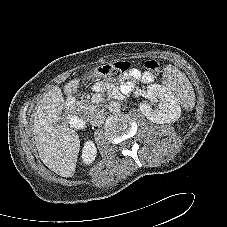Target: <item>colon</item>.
<instances>
[{
	"label": "colon",
	"instance_id": "colon-1",
	"mask_svg": "<svg viewBox=\"0 0 227 227\" xmlns=\"http://www.w3.org/2000/svg\"><path fill=\"white\" fill-rule=\"evenodd\" d=\"M128 62H116L113 64H108L97 68L91 76L96 77H105V78H118L123 73H125L129 69ZM144 68V77L147 79L152 78L153 76L159 74L160 65L155 60H147L143 64ZM90 77V76H88Z\"/></svg>",
	"mask_w": 227,
	"mask_h": 227
}]
</instances>
